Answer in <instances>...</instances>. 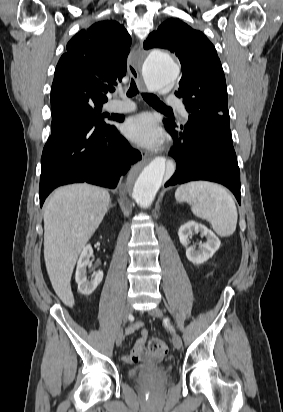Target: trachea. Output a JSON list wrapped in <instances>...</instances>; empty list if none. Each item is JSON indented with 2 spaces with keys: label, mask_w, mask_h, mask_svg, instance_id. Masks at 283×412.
<instances>
[{
  "label": "trachea",
  "mask_w": 283,
  "mask_h": 412,
  "mask_svg": "<svg viewBox=\"0 0 283 412\" xmlns=\"http://www.w3.org/2000/svg\"><path fill=\"white\" fill-rule=\"evenodd\" d=\"M138 93V89L136 86L135 81L132 79L131 83H130V87L129 90L127 92V96L128 97H133ZM144 100L150 104L153 105L155 107H158L160 109H164V110H168V111H172V109L168 106H166L164 103H162L154 94L151 93H143L142 94Z\"/></svg>",
  "instance_id": "3493384b"
}]
</instances>
